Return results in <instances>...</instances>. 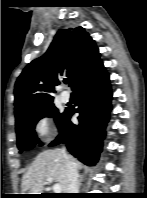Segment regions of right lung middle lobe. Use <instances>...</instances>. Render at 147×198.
<instances>
[{
    "label": "right lung middle lobe",
    "mask_w": 147,
    "mask_h": 198,
    "mask_svg": "<svg viewBox=\"0 0 147 198\" xmlns=\"http://www.w3.org/2000/svg\"><path fill=\"white\" fill-rule=\"evenodd\" d=\"M67 113L68 109H66L63 113H59L58 109L52 103L34 111L18 121L16 123V134L17 147L20 152L23 150H30L36 144L41 143L35 133V125L41 118H54L60 130L66 120Z\"/></svg>",
    "instance_id": "dd1d6c3e"
}]
</instances>
